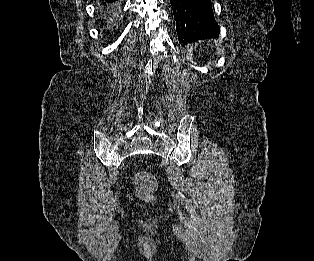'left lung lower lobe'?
<instances>
[{
  "mask_svg": "<svg viewBox=\"0 0 314 261\" xmlns=\"http://www.w3.org/2000/svg\"><path fill=\"white\" fill-rule=\"evenodd\" d=\"M181 43L214 38L220 33L211 0H170Z\"/></svg>",
  "mask_w": 314,
  "mask_h": 261,
  "instance_id": "1",
  "label": "left lung lower lobe"
}]
</instances>
